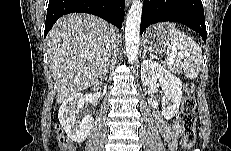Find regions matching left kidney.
Here are the masks:
<instances>
[{
	"mask_svg": "<svg viewBox=\"0 0 231 151\" xmlns=\"http://www.w3.org/2000/svg\"><path fill=\"white\" fill-rule=\"evenodd\" d=\"M141 80L144 85H154L159 81L164 93L161 105L162 115L170 120L178 113L182 103V82L159 63L143 60L141 64Z\"/></svg>",
	"mask_w": 231,
	"mask_h": 151,
	"instance_id": "1",
	"label": "left kidney"
}]
</instances>
